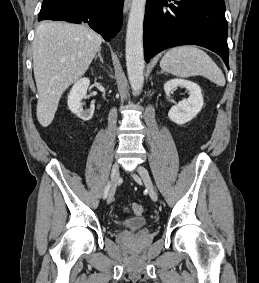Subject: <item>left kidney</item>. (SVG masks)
Returning a JSON list of instances; mask_svg holds the SVG:
<instances>
[{"label": "left kidney", "mask_w": 259, "mask_h": 283, "mask_svg": "<svg viewBox=\"0 0 259 283\" xmlns=\"http://www.w3.org/2000/svg\"><path fill=\"white\" fill-rule=\"evenodd\" d=\"M177 87L186 88L190 92V95L187 100L180 101L177 105L173 106L169 110L168 116L174 123L183 125L191 121L201 111L203 107V96L199 85L183 79L167 81L164 84L166 96L169 97Z\"/></svg>", "instance_id": "5707ae66"}]
</instances>
